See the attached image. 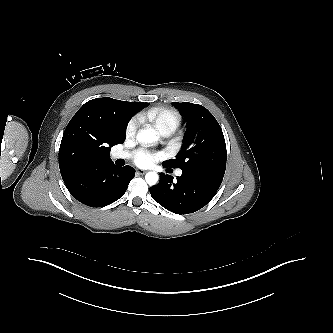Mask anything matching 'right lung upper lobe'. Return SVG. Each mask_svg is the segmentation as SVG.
<instances>
[{"instance_id":"obj_1","label":"right lung upper lobe","mask_w":333,"mask_h":333,"mask_svg":"<svg viewBox=\"0 0 333 333\" xmlns=\"http://www.w3.org/2000/svg\"><path fill=\"white\" fill-rule=\"evenodd\" d=\"M148 103L109 97L85 103L68 123L59 149V168L64 182L82 169L107 162L111 147L123 143L131 117Z\"/></svg>"}]
</instances>
